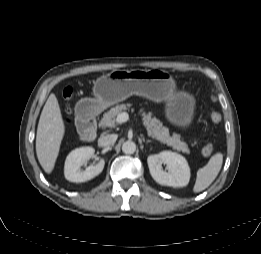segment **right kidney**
Masks as SVG:
<instances>
[{
  "mask_svg": "<svg viewBox=\"0 0 261 254\" xmlns=\"http://www.w3.org/2000/svg\"><path fill=\"white\" fill-rule=\"evenodd\" d=\"M94 148L81 147L73 150L66 158L64 166L65 178L70 182H85L99 175L104 168V160L101 159L96 165L88 166L84 171L81 167L93 157Z\"/></svg>",
  "mask_w": 261,
  "mask_h": 254,
  "instance_id": "ca27d5eb",
  "label": "right kidney"
}]
</instances>
